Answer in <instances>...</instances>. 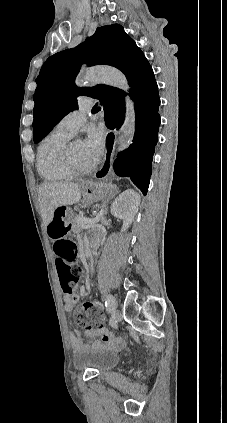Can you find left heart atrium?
<instances>
[{
  "mask_svg": "<svg viewBox=\"0 0 227 423\" xmlns=\"http://www.w3.org/2000/svg\"><path fill=\"white\" fill-rule=\"evenodd\" d=\"M105 140L106 134L103 129L91 128L89 130L88 137L83 144L85 156L90 166L99 161L105 147Z\"/></svg>",
  "mask_w": 227,
  "mask_h": 423,
  "instance_id": "1",
  "label": "left heart atrium"
}]
</instances>
